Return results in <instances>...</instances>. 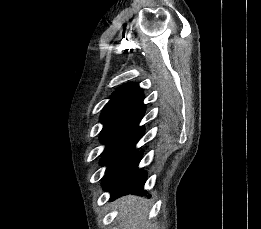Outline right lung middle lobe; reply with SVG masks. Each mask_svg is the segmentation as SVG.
I'll return each instance as SVG.
<instances>
[{"label": "right lung middle lobe", "instance_id": "1", "mask_svg": "<svg viewBox=\"0 0 261 229\" xmlns=\"http://www.w3.org/2000/svg\"><path fill=\"white\" fill-rule=\"evenodd\" d=\"M142 135H143V131H139L136 134H134L132 138V146L128 149L125 150L105 149V151L102 153V156L104 158L101 160V165H107L106 172L110 170L117 162L121 161L122 159L136 152L135 144L141 138Z\"/></svg>", "mask_w": 261, "mask_h": 229}]
</instances>
